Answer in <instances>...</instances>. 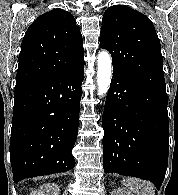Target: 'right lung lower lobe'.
<instances>
[{
    "mask_svg": "<svg viewBox=\"0 0 178 195\" xmlns=\"http://www.w3.org/2000/svg\"><path fill=\"white\" fill-rule=\"evenodd\" d=\"M84 65L16 83L10 138L14 182L66 172L78 134Z\"/></svg>",
    "mask_w": 178,
    "mask_h": 195,
    "instance_id": "1",
    "label": "right lung lower lobe"
}]
</instances>
